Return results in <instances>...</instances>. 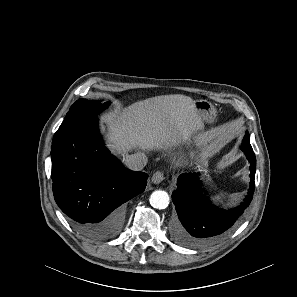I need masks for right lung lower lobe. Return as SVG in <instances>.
<instances>
[{
  "label": "right lung lower lobe",
  "instance_id": "1",
  "mask_svg": "<svg viewBox=\"0 0 297 297\" xmlns=\"http://www.w3.org/2000/svg\"><path fill=\"white\" fill-rule=\"evenodd\" d=\"M53 194L75 229L92 239L121 230L123 204L142 193L148 175L125 168L104 147L97 117L59 129L53 138Z\"/></svg>",
  "mask_w": 297,
  "mask_h": 297
}]
</instances>
